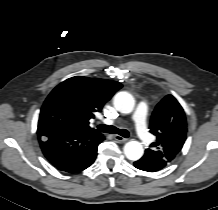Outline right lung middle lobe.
<instances>
[{
  "label": "right lung middle lobe",
  "instance_id": "dd1d6c3e",
  "mask_svg": "<svg viewBox=\"0 0 218 210\" xmlns=\"http://www.w3.org/2000/svg\"><path fill=\"white\" fill-rule=\"evenodd\" d=\"M38 127L69 129V115L57 104L45 101L41 109Z\"/></svg>",
  "mask_w": 218,
  "mask_h": 210
}]
</instances>
